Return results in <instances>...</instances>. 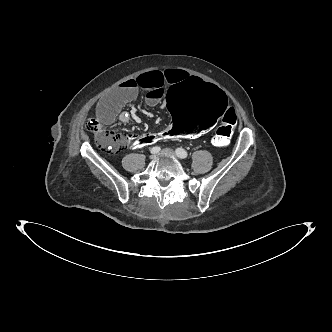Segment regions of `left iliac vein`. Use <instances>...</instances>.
<instances>
[{
    "label": "left iliac vein",
    "instance_id": "obj_1",
    "mask_svg": "<svg viewBox=\"0 0 332 332\" xmlns=\"http://www.w3.org/2000/svg\"><path fill=\"white\" fill-rule=\"evenodd\" d=\"M161 154L176 157V153H175L172 149H170V148H165V149H163V150L161 151Z\"/></svg>",
    "mask_w": 332,
    "mask_h": 332
}]
</instances>
